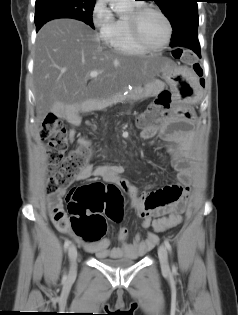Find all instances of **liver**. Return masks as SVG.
<instances>
[{"label":"liver","mask_w":238,"mask_h":315,"mask_svg":"<svg viewBox=\"0 0 238 315\" xmlns=\"http://www.w3.org/2000/svg\"><path fill=\"white\" fill-rule=\"evenodd\" d=\"M164 66L160 56H126L102 46L81 21H49L38 32L35 45L37 127L49 112L64 117L83 103L107 100L128 85L146 86ZM91 71L98 76L91 78Z\"/></svg>","instance_id":"1"}]
</instances>
